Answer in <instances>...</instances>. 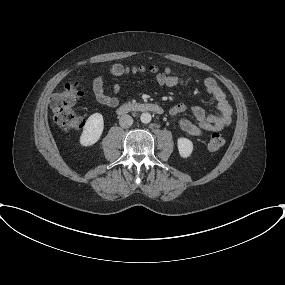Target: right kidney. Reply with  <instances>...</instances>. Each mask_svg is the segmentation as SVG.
<instances>
[{"instance_id": "obj_1", "label": "right kidney", "mask_w": 285, "mask_h": 285, "mask_svg": "<svg viewBox=\"0 0 285 285\" xmlns=\"http://www.w3.org/2000/svg\"><path fill=\"white\" fill-rule=\"evenodd\" d=\"M103 129V116L100 113L92 114L86 121L80 136V144L82 146H91L95 144L100 139Z\"/></svg>"}]
</instances>
